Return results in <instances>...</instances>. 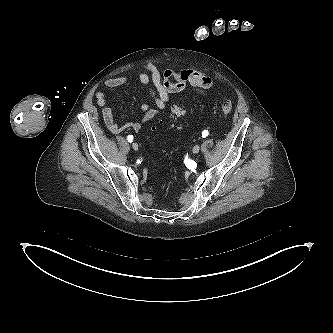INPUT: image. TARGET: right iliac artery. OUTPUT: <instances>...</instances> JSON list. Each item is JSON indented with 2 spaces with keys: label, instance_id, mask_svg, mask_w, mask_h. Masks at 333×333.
<instances>
[{
  "label": "right iliac artery",
  "instance_id": "1",
  "mask_svg": "<svg viewBox=\"0 0 333 333\" xmlns=\"http://www.w3.org/2000/svg\"><path fill=\"white\" fill-rule=\"evenodd\" d=\"M127 140H128V142H133V136L132 135H129L128 137H127Z\"/></svg>",
  "mask_w": 333,
  "mask_h": 333
}]
</instances>
